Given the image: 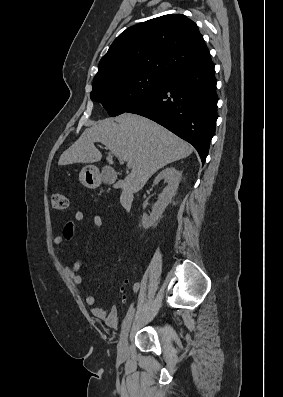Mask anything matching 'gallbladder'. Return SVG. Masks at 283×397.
<instances>
[{
  "mask_svg": "<svg viewBox=\"0 0 283 397\" xmlns=\"http://www.w3.org/2000/svg\"><path fill=\"white\" fill-rule=\"evenodd\" d=\"M103 177L106 183L113 184L116 180V173L110 168L103 169Z\"/></svg>",
  "mask_w": 283,
  "mask_h": 397,
  "instance_id": "bac80fb5",
  "label": "gallbladder"
}]
</instances>
